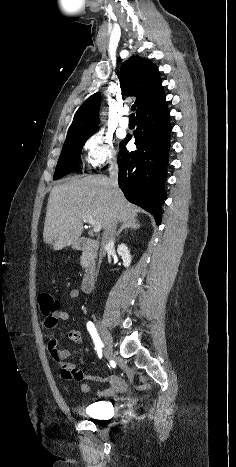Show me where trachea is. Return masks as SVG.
<instances>
[{
	"label": "trachea",
	"instance_id": "trachea-1",
	"mask_svg": "<svg viewBox=\"0 0 236 467\" xmlns=\"http://www.w3.org/2000/svg\"><path fill=\"white\" fill-rule=\"evenodd\" d=\"M135 109H136V106H135V105H133V106L131 107V110L134 112V111H135ZM129 118H130V119H135V115H134V113H132V114L129 116Z\"/></svg>",
	"mask_w": 236,
	"mask_h": 467
}]
</instances>
